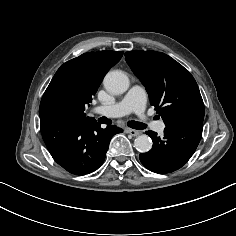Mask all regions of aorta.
Masks as SVG:
<instances>
[{
	"mask_svg": "<svg viewBox=\"0 0 236 236\" xmlns=\"http://www.w3.org/2000/svg\"><path fill=\"white\" fill-rule=\"evenodd\" d=\"M105 89L113 94H122L129 88V79L125 73L119 70L110 71L103 80ZM134 147L141 153H146L152 148V140L146 135L138 136L134 141Z\"/></svg>",
	"mask_w": 236,
	"mask_h": 236,
	"instance_id": "aorta-1",
	"label": "aorta"
}]
</instances>
